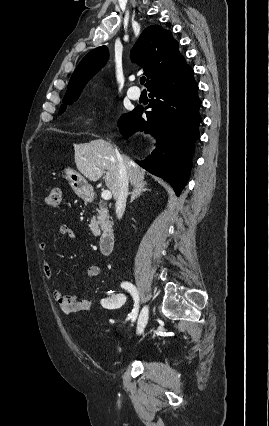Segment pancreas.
I'll use <instances>...</instances> for the list:
<instances>
[{
  "instance_id": "pancreas-1",
  "label": "pancreas",
  "mask_w": 269,
  "mask_h": 426,
  "mask_svg": "<svg viewBox=\"0 0 269 426\" xmlns=\"http://www.w3.org/2000/svg\"><path fill=\"white\" fill-rule=\"evenodd\" d=\"M96 211L98 213L97 220L95 217L92 218L90 222V230L95 236H98L100 234L99 225H106L109 224V213L107 206L104 202H99V208H96Z\"/></svg>"
}]
</instances>
